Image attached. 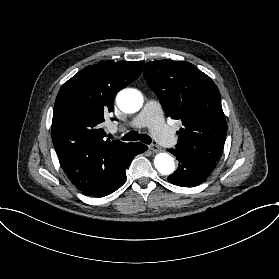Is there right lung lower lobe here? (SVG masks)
<instances>
[{
    "label": "right lung lower lobe",
    "instance_id": "1",
    "mask_svg": "<svg viewBox=\"0 0 279 279\" xmlns=\"http://www.w3.org/2000/svg\"><path fill=\"white\" fill-rule=\"evenodd\" d=\"M147 150V146L144 144H141L137 142L134 145L133 148V153L130 156V158L127 160L123 168L120 170V172L115 176V178L106 186L104 187L96 196L94 197H104L107 196L114 191H116L120 186H122L126 180V173L125 169L130 165L132 159L134 158L135 155L144 152Z\"/></svg>",
    "mask_w": 279,
    "mask_h": 279
}]
</instances>
